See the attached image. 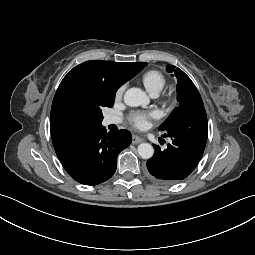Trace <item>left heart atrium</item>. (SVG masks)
<instances>
[{"mask_svg": "<svg viewBox=\"0 0 255 255\" xmlns=\"http://www.w3.org/2000/svg\"><path fill=\"white\" fill-rule=\"evenodd\" d=\"M156 117L155 112H134L130 116V122L139 129H145L149 126L151 118Z\"/></svg>", "mask_w": 255, "mask_h": 255, "instance_id": "left-heart-atrium-1", "label": "left heart atrium"}]
</instances>
